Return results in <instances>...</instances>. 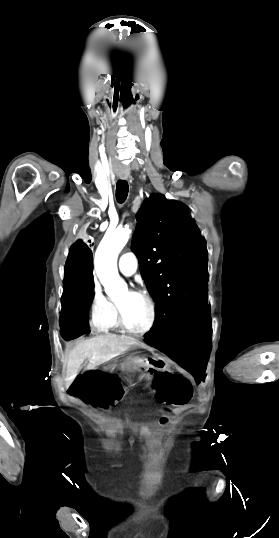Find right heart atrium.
Wrapping results in <instances>:
<instances>
[{"label": "right heart atrium", "mask_w": 279, "mask_h": 538, "mask_svg": "<svg viewBox=\"0 0 279 538\" xmlns=\"http://www.w3.org/2000/svg\"><path fill=\"white\" fill-rule=\"evenodd\" d=\"M109 314V301L103 295L96 277L93 280L92 326L101 330Z\"/></svg>", "instance_id": "1"}]
</instances>
